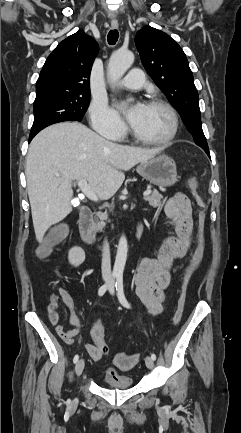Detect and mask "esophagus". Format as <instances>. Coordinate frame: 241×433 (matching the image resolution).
Listing matches in <instances>:
<instances>
[{
	"label": "esophagus",
	"mask_w": 241,
	"mask_h": 433,
	"mask_svg": "<svg viewBox=\"0 0 241 433\" xmlns=\"http://www.w3.org/2000/svg\"><path fill=\"white\" fill-rule=\"evenodd\" d=\"M111 27H112L113 29L118 28V22H117V21H112V22H111Z\"/></svg>",
	"instance_id": "esophagus-1"
}]
</instances>
